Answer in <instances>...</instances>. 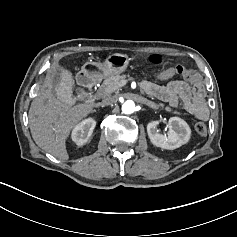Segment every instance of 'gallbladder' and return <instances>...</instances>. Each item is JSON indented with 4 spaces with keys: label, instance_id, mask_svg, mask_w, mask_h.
I'll list each match as a JSON object with an SVG mask.
<instances>
[{
    "label": "gallbladder",
    "instance_id": "gallbladder-1",
    "mask_svg": "<svg viewBox=\"0 0 237 237\" xmlns=\"http://www.w3.org/2000/svg\"><path fill=\"white\" fill-rule=\"evenodd\" d=\"M60 83L56 86L59 101L64 105L73 103L72 90L74 89V75L70 68H62L58 71Z\"/></svg>",
    "mask_w": 237,
    "mask_h": 237
}]
</instances>
